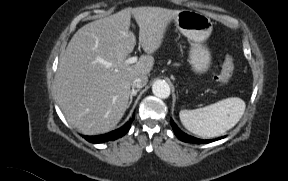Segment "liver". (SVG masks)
<instances>
[{"label": "liver", "mask_w": 288, "mask_h": 181, "mask_svg": "<svg viewBox=\"0 0 288 181\" xmlns=\"http://www.w3.org/2000/svg\"><path fill=\"white\" fill-rule=\"evenodd\" d=\"M179 10L126 8L81 27L60 57L55 76L57 102L68 123L82 134L115 128L123 117L135 77L153 68L152 54ZM131 15L139 26V45L147 53L133 65L125 63L136 45Z\"/></svg>", "instance_id": "liver-1"}]
</instances>
